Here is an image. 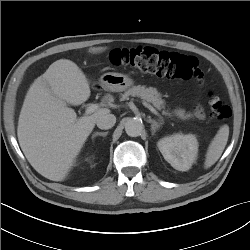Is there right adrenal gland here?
I'll return each instance as SVG.
<instances>
[{
	"label": "right adrenal gland",
	"instance_id": "right-adrenal-gland-1",
	"mask_svg": "<svg viewBox=\"0 0 250 250\" xmlns=\"http://www.w3.org/2000/svg\"><path fill=\"white\" fill-rule=\"evenodd\" d=\"M108 135V132H96L94 135H93V138L96 137V136H103V137H106Z\"/></svg>",
	"mask_w": 250,
	"mask_h": 250
}]
</instances>
